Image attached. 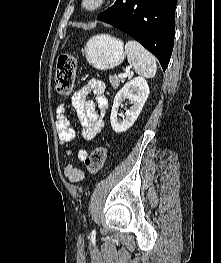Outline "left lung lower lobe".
Segmentation results:
<instances>
[{"label": "left lung lower lobe", "mask_w": 221, "mask_h": 263, "mask_svg": "<svg viewBox=\"0 0 221 263\" xmlns=\"http://www.w3.org/2000/svg\"><path fill=\"white\" fill-rule=\"evenodd\" d=\"M175 9L176 0H116L97 18L137 40L165 71L174 45Z\"/></svg>", "instance_id": "1"}]
</instances>
